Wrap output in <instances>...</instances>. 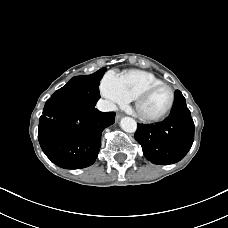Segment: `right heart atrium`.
<instances>
[{"label":"right heart atrium","instance_id":"d8ad5b80","mask_svg":"<svg viewBox=\"0 0 228 228\" xmlns=\"http://www.w3.org/2000/svg\"><path fill=\"white\" fill-rule=\"evenodd\" d=\"M100 92L112 109L117 106H123L130 100L122 91L117 76L113 73L104 75L100 83Z\"/></svg>","mask_w":228,"mask_h":228}]
</instances>
